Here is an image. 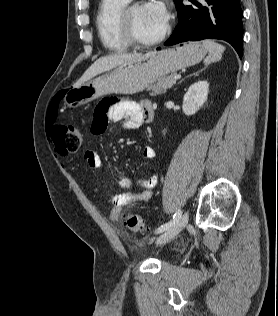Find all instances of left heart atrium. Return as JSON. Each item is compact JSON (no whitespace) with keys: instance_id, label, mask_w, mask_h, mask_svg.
Segmentation results:
<instances>
[{"instance_id":"1","label":"left heart atrium","mask_w":278,"mask_h":316,"mask_svg":"<svg viewBox=\"0 0 278 316\" xmlns=\"http://www.w3.org/2000/svg\"><path fill=\"white\" fill-rule=\"evenodd\" d=\"M146 8L156 20L165 25L168 23L169 11L163 1L151 0L146 4Z\"/></svg>"}]
</instances>
